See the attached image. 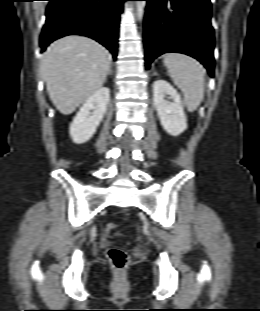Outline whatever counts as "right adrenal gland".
Here are the masks:
<instances>
[{"instance_id":"1","label":"right adrenal gland","mask_w":260,"mask_h":311,"mask_svg":"<svg viewBox=\"0 0 260 311\" xmlns=\"http://www.w3.org/2000/svg\"><path fill=\"white\" fill-rule=\"evenodd\" d=\"M112 74V69L110 67L109 71H108V75Z\"/></svg>"}]
</instances>
